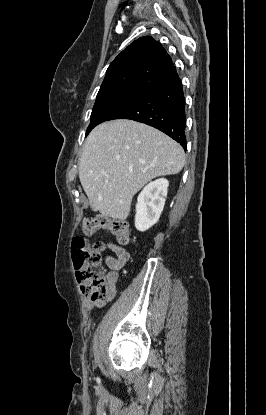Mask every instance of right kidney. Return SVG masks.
I'll list each match as a JSON object with an SVG mask.
<instances>
[{
  "label": "right kidney",
  "instance_id": "obj_1",
  "mask_svg": "<svg viewBox=\"0 0 266 415\" xmlns=\"http://www.w3.org/2000/svg\"><path fill=\"white\" fill-rule=\"evenodd\" d=\"M168 180L161 178L146 185L137 198L135 227L143 232L153 226L163 211Z\"/></svg>",
  "mask_w": 266,
  "mask_h": 415
}]
</instances>
